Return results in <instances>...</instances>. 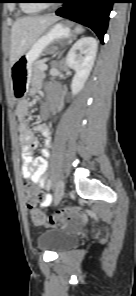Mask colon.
<instances>
[{
	"label": "colon",
	"mask_w": 136,
	"mask_h": 296,
	"mask_svg": "<svg viewBox=\"0 0 136 296\" xmlns=\"http://www.w3.org/2000/svg\"><path fill=\"white\" fill-rule=\"evenodd\" d=\"M24 192L32 220L38 225H61L80 214L79 210L76 208L63 207L59 209L54 215L46 216L38 208V203L42 200V193L29 182L24 183Z\"/></svg>",
	"instance_id": "colon-1"
}]
</instances>
